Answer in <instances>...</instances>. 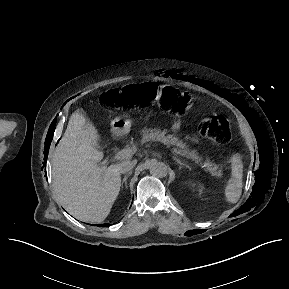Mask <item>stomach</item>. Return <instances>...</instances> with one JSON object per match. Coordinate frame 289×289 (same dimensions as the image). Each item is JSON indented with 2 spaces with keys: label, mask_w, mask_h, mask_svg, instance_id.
I'll return each mask as SVG.
<instances>
[{
  "label": "stomach",
  "mask_w": 289,
  "mask_h": 289,
  "mask_svg": "<svg viewBox=\"0 0 289 289\" xmlns=\"http://www.w3.org/2000/svg\"><path fill=\"white\" fill-rule=\"evenodd\" d=\"M132 121L128 118H117L114 120L112 128L115 133H126L130 130Z\"/></svg>",
  "instance_id": "1"
}]
</instances>
